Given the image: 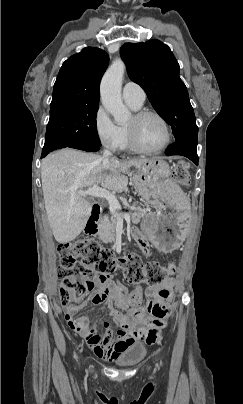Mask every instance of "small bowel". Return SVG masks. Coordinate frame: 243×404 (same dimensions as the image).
<instances>
[{"label": "small bowel", "mask_w": 243, "mask_h": 404, "mask_svg": "<svg viewBox=\"0 0 243 404\" xmlns=\"http://www.w3.org/2000/svg\"><path fill=\"white\" fill-rule=\"evenodd\" d=\"M136 239L143 252L148 253L145 238L137 232ZM98 283V290L92 293L89 300L93 303L108 302L111 316L118 325L116 337H113V330L109 323L103 324L105 332L101 334L96 327L89 325L86 316L74 318L72 312L67 311L64 318L69 327L84 337L98 357L106 360L116 359L127 346L139 340L149 345L155 343L161 329L166 326L170 313L173 280L167 278L160 285L150 287L147 290L146 306L131 311L127 315H123L117 309V306L122 304L121 293L124 288L117 286L110 276L102 277ZM85 304L86 302H82L76 310Z\"/></svg>", "instance_id": "1"}]
</instances>
